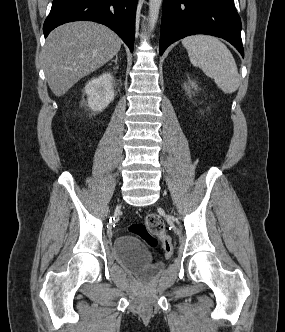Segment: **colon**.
Wrapping results in <instances>:
<instances>
[{"mask_svg":"<svg viewBox=\"0 0 285 332\" xmlns=\"http://www.w3.org/2000/svg\"><path fill=\"white\" fill-rule=\"evenodd\" d=\"M129 232L152 247L161 245L166 257L173 253V245L170 238L165 234V224L156 214L146 216L143 223H134L129 226Z\"/></svg>","mask_w":285,"mask_h":332,"instance_id":"1","label":"colon"}]
</instances>
